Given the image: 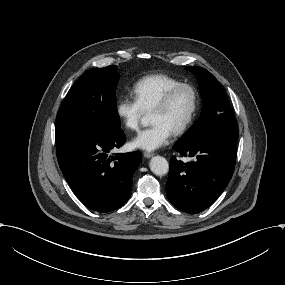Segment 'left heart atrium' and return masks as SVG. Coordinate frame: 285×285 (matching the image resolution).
<instances>
[{
    "label": "left heart atrium",
    "instance_id": "obj_1",
    "mask_svg": "<svg viewBox=\"0 0 285 285\" xmlns=\"http://www.w3.org/2000/svg\"><path fill=\"white\" fill-rule=\"evenodd\" d=\"M171 134L169 126L159 121L153 122L133 139V144L145 150H154L166 144Z\"/></svg>",
    "mask_w": 285,
    "mask_h": 285
}]
</instances>
